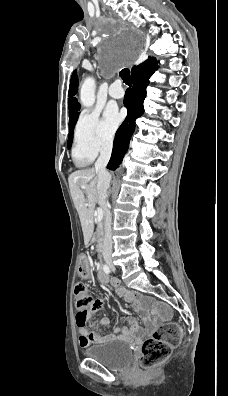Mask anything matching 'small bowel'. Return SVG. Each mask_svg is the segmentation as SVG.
Segmentation results:
<instances>
[{"label":"small bowel","instance_id":"obj_1","mask_svg":"<svg viewBox=\"0 0 228 396\" xmlns=\"http://www.w3.org/2000/svg\"><path fill=\"white\" fill-rule=\"evenodd\" d=\"M79 271L83 276H89L90 274V264L84 256L81 258ZM107 278L105 283H110L115 288L116 296L123 298L132 305V308L145 323V329H142L137 319L129 318L127 327H117L114 329V334L104 335L102 334L101 327L108 326L110 323L109 319L104 317L98 322L93 323L90 329L85 327L79 328V343L82 347L112 339L127 338L132 335L141 334L143 331L149 332L160 320L165 319L169 314L168 308L164 304H158L151 298L129 292L121 286L119 280L109 279L108 276ZM103 305L104 302L102 299H96L89 310V316L95 314Z\"/></svg>","mask_w":228,"mask_h":396}]
</instances>
